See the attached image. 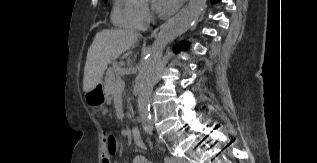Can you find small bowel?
I'll use <instances>...</instances> for the list:
<instances>
[{
    "instance_id": "obj_1",
    "label": "small bowel",
    "mask_w": 317,
    "mask_h": 163,
    "mask_svg": "<svg viewBox=\"0 0 317 163\" xmlns=\"http://www.w3.org/2000/svg\"><path fill=\"white\" fill-rule=\"evenodd\" d=\"M103 136L105 141L106 133H104ZM101 163H111L109 155L105 152L101 155ZM132 163H152V161L143 155H138L133 158Z\"/></svg>"
}]
</instances>
